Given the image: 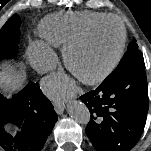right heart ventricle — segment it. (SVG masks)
<instances>
[{
  "label": "right heart ventricle",
  "instance_id": "obj_1",
  "mask_svg": "<svg viewBox=\"0 0 151 151\" xmlns=\"http://www.w3.org/2000/svg\"><path fill=\"white\" fill-rule=\"evenodd\" d=\"M108 14L94 11H66L46 16L39 24V33L46 44L64 47L89 24Z\"/></svg>",
  "mask_w": 151,
  "mask_h": 151
}]
</instances>
